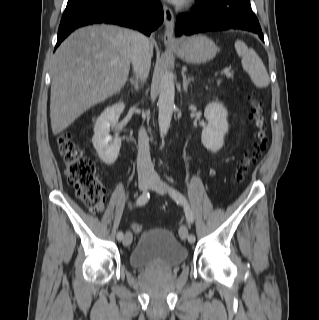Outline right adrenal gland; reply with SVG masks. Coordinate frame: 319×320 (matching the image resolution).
I'll return each instance as SVG.
<instances>
[{"label": "right adrenal gland", "instance_id": "right-adrenal-gland-1", "mask_svg": "<svg viewBox=\"0 0 319 320\" xmlns=\"http://www.w3.org/2000/svg\"><path fill=\"white\" fill-rule=\"evenodd\" d=\"M130 83L135 88V90H138V81L136 79L130 78Z\"/></svg>", "mask_w": 319, "mask_h": 320}]
</instances>
